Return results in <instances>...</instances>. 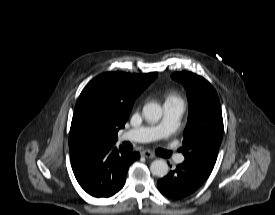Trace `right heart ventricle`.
I'll list each match as a JSON object with an SVG mask.
<instances>
[{"mask_svg":"<svg viewBox=\"0 0 275 215\" xmlns=\"http://www.w3.org/2000/svg\"><path fill=\"white\" fill-rule=\"evenodd\" d=\"M173 100H180V98L176 94L171 93L166 96L165 102H169Z\"/></svg>","mask_w":275,"mask_h":215,"instance_id":"1","label":"right heart ventricle"}]
</instances>
